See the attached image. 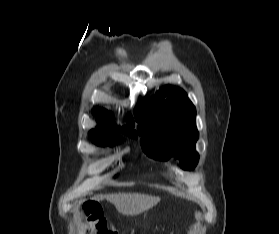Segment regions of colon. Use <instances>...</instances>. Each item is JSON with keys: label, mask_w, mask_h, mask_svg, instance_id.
<instances>
[{"label": "colon", "mask_w": 279, "mask_h": 234, "mask_svg": "<svg viewBox=\"0 0 279 234\" xmlns=\"http://www.w3.org/2000/svg\"><path fill=\"white\" fill-rule=\"evenodd\" d=\"M84 223L89 234H118V232L109 227L101 209L94 204L85 206Z\"/></svg>", "instance_id": "colon-1"}]
</instances>
